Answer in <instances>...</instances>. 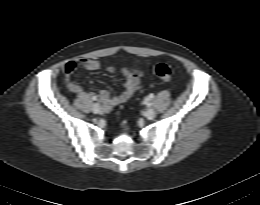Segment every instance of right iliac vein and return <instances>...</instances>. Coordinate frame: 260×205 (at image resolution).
<instances>
[{"label":"right iliac vein","mask_w":260,"mask_h":205,"mask_svg":"<svg viewBox=\"0 0 260 205\" xmlns=\"http://www.w3.org/2000/svg\"><path fill=\"white\" fill-rule=\"evenodd\" d=\"M92 111L95 113V114H98L102 111V107L98 104V103H94L92 105Z\"/></svg>","instance_id":"right-iliac-vein-1"}]
</instances>
